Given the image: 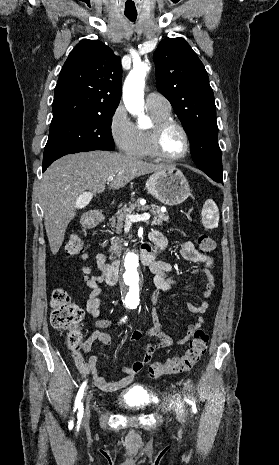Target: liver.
<instances>
[{"mask_svg":"<svg viewBox=\"0 0 279 465\" xmlns=\"http://www.w3.org/2000/svg\"><path fill=\"white\" fill-rule=\"evenodd\" d=\"M164 168L167 166L108 151L66 155L52 163L43 174L39 196L52 254L56 255L62 246L67 226L76 216V202L83 193L104 192L109 176H114L108 187L113 190Z\"/></svg>","mask_w":279,"mask_h":465,"instance_id":"1","label":"liver"}]
</instances>
